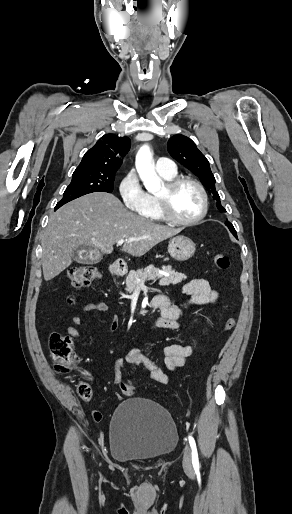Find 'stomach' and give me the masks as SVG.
I'll return each mask as SVG.
<instances>
[{"mask_svg":"<svg viewBox=\"0 0 292 514\" xmlns=\"http://www.w3.org/2000/svg\"><path fill=\"white\" fill-rule=\"evenodd\" d=\"M168 254H170L171 258H174V260L184 262V260H189V258L194 256L195 244L190 238H186V236H176V238H172L169 242ZM109 272H111V274H118V268H116V266H110Z\"/></svg>","mask_w":292,"mask_h":514,"instance_id":"obj_1","label":"stomach"}]
</instances>
